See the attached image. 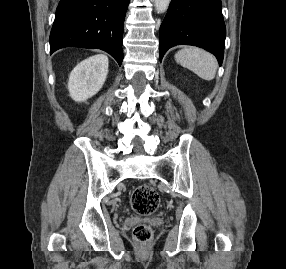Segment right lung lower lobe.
<instances>
[{
    "instance_id": "1",
    "label": "right lung lower lobe",
    "mask_w": 286,
    "mask_h": 269,
    "mask_svg": "<svg viewBox=\"0 0 286 269\" xmlns=\"http://www.w3.org/2000/svg\"><path fill=\"white\" fill-rule=\"evenodd\" d=\"M130 0H61L50 33V53L68 46L102 49L119 65Z\"/></svg>"
}]
</instances>
